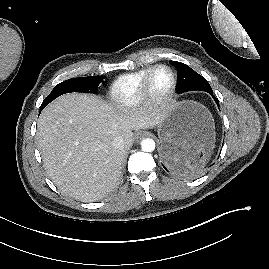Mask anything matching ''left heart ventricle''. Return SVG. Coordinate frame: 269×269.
Returning <instances> with one entry per match:
<instances>
[{"label":"left heart ventricle","instance_id":"b2bd125f","mask_svg":"<svg viewBox=\"0 0 269 269\" xmlns=\"http://www.w3.org/2000/svg\"><path fill=\"white\" fill-rule=\"evenodd\" d=\"M170 84V73L165 69H159L153 75L151 82V92L155 96H160L167 91Z\"/></svg>","mask_w":269,"mask_h":269}]
</instances>
